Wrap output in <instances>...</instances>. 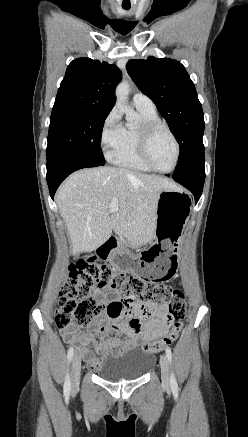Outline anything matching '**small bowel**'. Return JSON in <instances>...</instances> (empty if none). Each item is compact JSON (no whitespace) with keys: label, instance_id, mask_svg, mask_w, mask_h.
Here are the masks:
<instances>
[{"label":"small bowel","instance_id":"obj_1","mask_svg":"<svg viewBox=\"0 0 248 437\" xmlns=\"http://www.w3.org/2000/svg\"><path fill=\"white\" fill-rule=\"evenodd\" d=\"M94 296L110 304L106 314L100 315L87 331H79L75 326L60 330L65 342L76 344L92 369H98L106 356L119 355L169 331L166 304L139 302L128 294L110 292L108 285L96 289ZM120 333L125 335L123 341L119 339Z\"/></svg>","mask_w":248,"mask_h":437}]
</instances>
